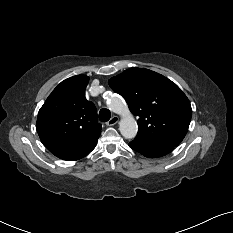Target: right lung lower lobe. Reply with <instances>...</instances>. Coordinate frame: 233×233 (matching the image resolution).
I'll use <instances>...</instances> for the list:
<instances>
[{
  "mask_svg": "<svg viewBox=\"0 0 233 233\" xmlns=\"http://www.w3.org/2000/svg\"><path fill=\"white\" fill-rule=\"evenodd\" d=\"M98 138L89 144L78 146V147H53L48 148V150L63 160L75 161L86 156L90 151H92L96 145Z\"/></svg>",
  "mask_w": 233,
  "mask_h": 233,
  "instance_id": "obj_1",
  "label": "right lung lower lobe"
}]
</instances>
